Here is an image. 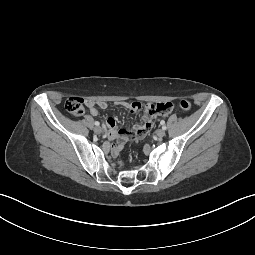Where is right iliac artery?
I'll return each mask as SVG.
<instances>
[{
  "mask_svg": "<svg viewBox=\"0 0 255 255\" xmlns=\"http://www.w3.org/2000/svg\"><path fill=\"white\" fill-rule=\"evenodd\" d=\"M94 124H95L96 126H99V125H100V123H99L98 121H96Z\"/></svg>",
  "mask_w": 255,
  "mask_h": 255,
  "instance_id": "1",
  "label": "right iliac artery"
}]
</instances>
